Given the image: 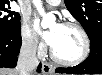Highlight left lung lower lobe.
<instances>
[{
    "instance_id": "left-lung-lower-lobe-1",
    "label": "left lung lower lobe",
    "mask_w": 102,
    "mask_h": 75,
    "mask_svg": "<svg viewBox=\"0 0 102 75\" xmlns=\"http://www.w3.org/2000/svg\"><path fill=\"white\" fill-rule=\"evenodd\" d=\"M56 72L69 74L102 73V36L97 35L90 40V54L84 62L70 68H57Z\"/></svg>"
}]
</instances>
